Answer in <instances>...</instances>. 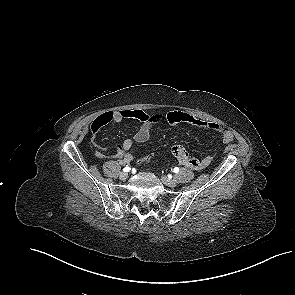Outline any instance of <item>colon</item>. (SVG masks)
Masks as SVG:
<instances>
[{
  "instance_id": "colon-1",
  "label": "colon",
  "mask_w": 295,
  "mask_h": 295,
  "mask_svg": "<svg viewBox=\"0 0 295 295\" xmlns=\"http://www.w3.org/2000/svg\"><path fill=\"white\" fill-rule=\"evenodd\" d=\"M151 158H152V154H146L139 159V162L144 164V163L149 162L151 160Z\"/></svg>"
}]
</instances>
